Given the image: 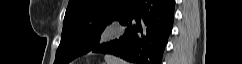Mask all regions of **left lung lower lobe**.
Segmentation results:
<instances>
[{
    "label": "left lung lower lobe",
    "instance_id": "obj_1",
    "mask_svg": "<svg viewBox=\"0 0 242 64\" xmlns=\"http://www.w3.org/2000/svg\"><path fill=\"white\" fill-rule=\"evenodd\" d=\"M175 0H132L115 19L125 28L110 42L90 51L112 54L136 64H161L172 31Z\"/></svg>",
    "mask_w": 242,
    "mask_h": 64
}]
</instances>
